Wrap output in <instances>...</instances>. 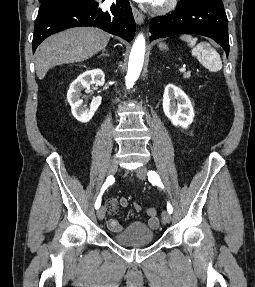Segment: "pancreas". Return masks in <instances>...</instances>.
Listing matches in <instances>:
<instances>
[{"mask_svg":"<svg viewBox=\"0 0 255 287\" xmlns=\"http://www.w3.org/2000/svg\"><path fill=\"white\" fill-rule=\"evenodd\" d=\"M183 78H190V72H184Z\"/></svg>","mask_w":255,"mask_h":287,"instance_id":"obj_1","label":"pancreas"}]
</instances>
